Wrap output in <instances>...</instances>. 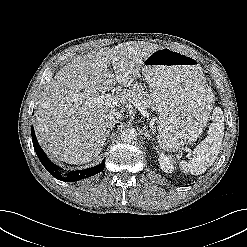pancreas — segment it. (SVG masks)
Returning <instances> with one entry per match:
<instances>
[{"mask_svg":"<svg viewBox=\"0 0 247 247\" xmlns=\"http://www.w3.org/2000/svg\"><path fill=\"white\" fill-rule=\"evenodd\" d=\"M137 99L140 105L144 108L151 107L153 105L150 95L147 91H144L142 86L139 84H134L128 94V99Z\"/></svg>","mask_w":247,"mask_h":247,"instance_id":"1","label":"pancreas"}]
</instances>
